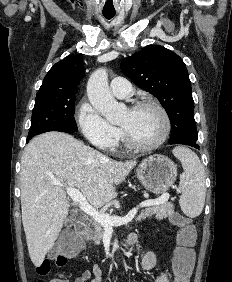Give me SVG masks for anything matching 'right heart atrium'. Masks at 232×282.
Returning a JSON list of instances; mask_svg holds the SVG:
<instances>
[{
	"label": "right heart atrium",
	"mask_w": 232,
	"mask_h": 282,
	"mask_svg": "<svg viewBox=\"0 0 232 282\" xmlns=\"http://www.w3.org/2000/svg\"><path fill=\"white\" fill-rule=\"evenodd\" d=\"M76 120L81 133L93 146L107 151L116 148L121 131L109 123L87 99L79 103Z\"/></svg>",
	"instance_id": "1"
}]
</instances>
